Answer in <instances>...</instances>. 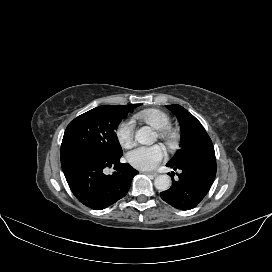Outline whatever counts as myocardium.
<instances>
[{"label":"myocardium","instance_id":"myocardium-1","mask_svg":"<svg viewBox=\"0 0 272 272\" xmlns=\"http://www.w3.org/2000/svg\"><path fill=\"white\" fill-rule=\"evenodd\" d=\"M176 136V131L170 126L158 130V137L166 143H172L176 139Z\"/></svg>","mask_w":272,"mask_h":272}]
</instances>
